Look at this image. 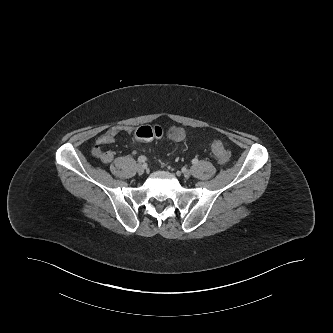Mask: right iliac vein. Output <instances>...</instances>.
<instances>
[{
  "label": "right iliac vein",
  "instance_id": "obj_1",
  "mask_svg": "<svg viewBox=\"0 0 333 333\" xmlns=\"http://www.w3.org/2000/svg\"><path fill=\"white\" fill-rule=\"evenodd\" d=\"M137 172L139 174H143L145 172V166L143 164H138L137 165Z\"/></svg>",
  "mask_w": 333,
  "mask_h": 333
}]
</instances>
